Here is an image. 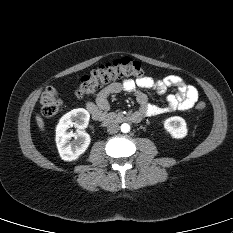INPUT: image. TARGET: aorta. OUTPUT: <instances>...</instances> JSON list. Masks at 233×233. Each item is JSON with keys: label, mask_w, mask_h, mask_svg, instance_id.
Wrapping results in <instances>:
<instances>
[{"label": "aorta", "mask_w": 233, "mask_h": 233, "mask_svg": "<svg viewBox=\"0 0 233 233\" xmlns=\"http://www.w3.org/2000/svg\"><path fill=\"white\" fill-rule=\"evenodd\" d=\"M120 129L123 133H128L130 131V125L128 123H123Z\"/></svg>", "instance_id": "762f6f07"}]
</instances>
